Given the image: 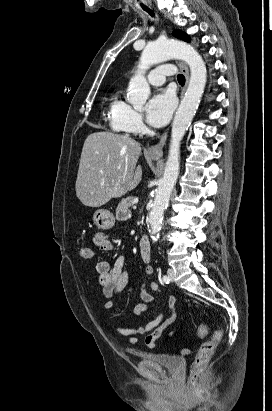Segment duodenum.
<instances>
[{"label":"duodenum","instance_id":"410a0bca","mask_svg":"<svg viewBox=\"0 0 272 411\" xmlns=\"http://www.w3.org/2000/svg\"><path fill=\"white\" fill-rule=\"evenodd\" d=\"M140 252L144 261L150 262L152 258L151 243L146 235H142L140 239Z\"/></svg>","mask_w":272,"mask_h":411}]
</instances>
